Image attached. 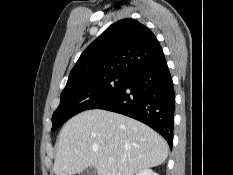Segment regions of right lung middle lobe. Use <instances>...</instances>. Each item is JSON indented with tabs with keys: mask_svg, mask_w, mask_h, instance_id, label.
<instances>
[{
	"mask_svg": "<svg viewBox=\"0 0 233 175\" xmlns=\"http://www.w3.org/2000/svg\"><path fill=\"white\" fill-rule=\"evenodd\" d=\"M130 75L107 73L67 83L61 93V102L52 116V131L74 115L95 109L108 102L129 80Z\"/></svg>",
	"mask_w": 233,
	"mask_h": 175,
	"instance_id": "obj_1",
	"label": "right lung middle lobe"
}]
</instances>
